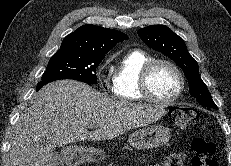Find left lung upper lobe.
<instances>
[{
    "label": "left lung upper lobe",
    "mask_w": 231,
    "mask_h": 166,
    "mask_svg": "<svg viewBox=\"0 0 231 166\" xmlns=\"http://www.w3.org/2000/svg\"><path fill=\"white\" fill-rule=\"evenodd\" d=\"M137 33L148 47L167 55L184 71L192 97L203 106L217 109L200 77L196 60L188 53L186 44L180 36L165 25H151L139 29Z\"/></svg>",
    "instance_id": "5c2ea615"
}]
</instances>
